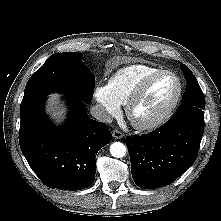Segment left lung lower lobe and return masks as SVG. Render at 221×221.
Segmentation results:
<instances>
[{"label": "left lung lower lobe", "instance_id": "obj_1", "mask_svg": "<svg viewBox=\"0 0 221 221\" xmlns=\"http://www.w3.org/2000/svg\"><path fill=\"white\" fill-rule=\"evenodd\" d=\"M204 131L203 109L180 106L153 132L127 137L135 183L154 189L172 183L195 161Z\"/></svg>", "mask_w": 221, "mask_h": 221}]
</instances>
